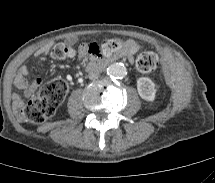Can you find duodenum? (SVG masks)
<instances>
[{"label": "duodenum", "instance_id": "duodenum-1", "mask_svg": "<svg viewBox=\"0 0 215 183\" xmlns=\"http://www.w3.org/2000/svg\"><path fill=\"white\" fill-rule=\"evenodd\" d=\"M113 60L112 59H98V60H93L91 62H89L86 66V71H94V70H98L101 69L105 66H107L108 64L112 63Z\"/></svg>", "mask_w": 215, "mask_h": 183}]
</instances>
